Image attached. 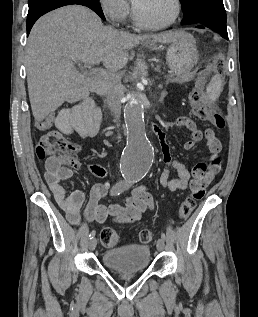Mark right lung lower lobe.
<instances>
[{
  "instance_id": "1",
  "label": "right lung lower lobe",
  "mask_w": 258,
  "mask_h": 317,
  "mask_svg": "<svg viewBox=\"0 0 258 317\" xmlns=\"http://www.w3.org/2000/svg\"><path fill=\"white\" fill-rule=\"evenodd\" d=\"M71 4L87 6L105 20L99 0H28L27 36L39 17L51 10Z\"/></svg>"
}]
</instances>
